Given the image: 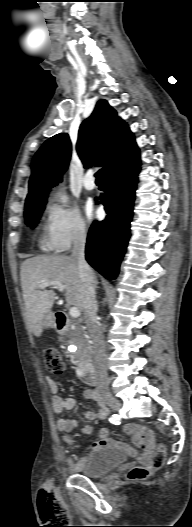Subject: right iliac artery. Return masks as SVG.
<instances>
[{"instance_id": "right-iliac-artery-1", "label": "right iliac artery", "mask_w": 192, "mask_h": 527, "mask_svg": "<svg viewBox=\"0 0 192 527\" xmlns=\"http://www.w3.org/2000/svg\"><path fill=\"white\" fill-rule=\"evenodd\" d=\"M122 419L123 416L121 413H114L112 418H110V425L112 427H121L123 425Z\"/></svg>"}]
</instances>
